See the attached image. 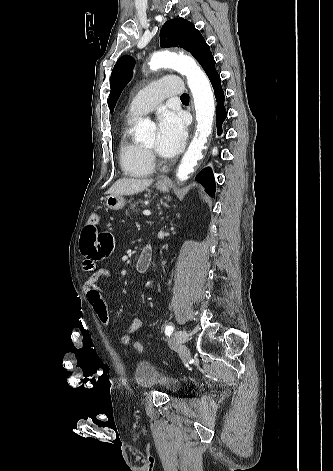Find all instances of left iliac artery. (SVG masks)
Instances as JSON below:
<instances>
[{
	"label": "left iliac artery",
	"instance_id": "obj_1",
	"mask_svg": "<svg viewBox=\"0 0 333 471\" xmlns=\"http://www.w3.org/2000/svg\"><path fill=\"white\" fill-rule=\"evenodd\" d=\"M173 326L172 325H167L166 328H165V333L166 335L170 336L171 333L173 332Z\"/></svg>",
	"mask_w": 333,
	"mask_h": 471
}]
</instances>
